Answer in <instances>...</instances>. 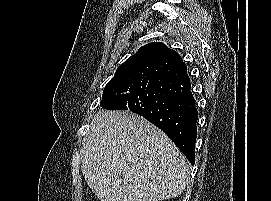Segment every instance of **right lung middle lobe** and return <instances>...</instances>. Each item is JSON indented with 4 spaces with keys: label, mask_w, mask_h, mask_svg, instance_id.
Here are the masks:
<instances>
[{
    "label": "right lung middle lobe",
    "mask_w": 271,
    "mask_h": 201,
    "mask_svg": "<svg viewBox=\"0 0 271 201\" xmlns=\"http://www.w3.org/2000/svg\"><path fill=\"white\" fill-rule=\"evenodd\" d=\"M150 78V70L146 69L115 74L104 88L101 107L119 110L126 98L145 90Z\"/></svg>",
    "instance_id": "obj_1"
}]
</instances>
